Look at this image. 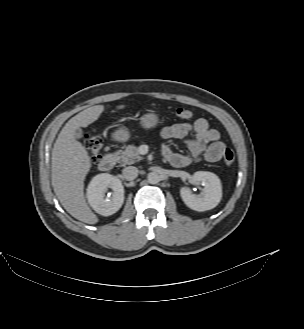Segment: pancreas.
<instances>
[{
  "label": "pancreas",
  "instance_id": "obj_1",
  "mask_svg": "<svg viewBox=\"0 0 304 329\" xmlns=\"http://www.w3.org/2000/svg\"><path fill=\"white\" fill-rule=\"evenodd\" d=\"M119 157V163L122 166L133 164L142 159L138 152V147L134 145H128L124 150H119L116 152Z\"/></svg>",
  "mask_w": 304,
  "mask_h": 329
}]
</instances>
